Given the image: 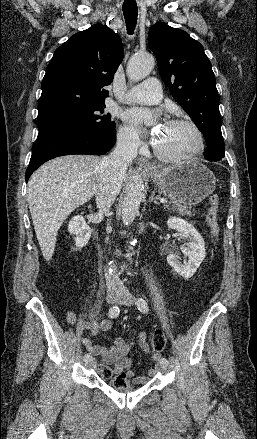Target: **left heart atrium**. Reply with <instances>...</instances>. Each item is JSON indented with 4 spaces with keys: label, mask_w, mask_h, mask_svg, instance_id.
Segmentation results:
<instances>
[{
    "label": "left heart atrium",
    "mask_w": 257,
    "mask_h": 439,
    "mask_svg": "<svg viewBox=\"0 0 257 439\" xmlns=\"http://www.w3.org/2000/svg\"><path fill=\"white\" fill-rule=\"evenodd\" d=\"M150 113L144 109L134 108L126 114V119L136 127L141 126L148 118Z\"/></svg>",
    "instance_id": "1"
}]
</instances>
